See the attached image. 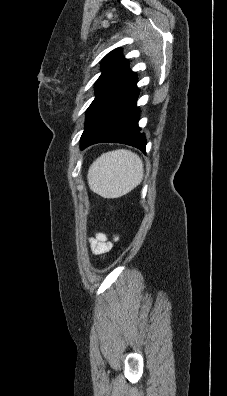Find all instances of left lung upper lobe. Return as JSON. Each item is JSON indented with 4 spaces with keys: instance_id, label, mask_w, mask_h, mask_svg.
<instances>
[{
    "instance_id": "5c2ea615",
    "label": "left lung upper lobe",
    "mask_w": 227,
    "mask_h": 396,
    "mask_svg": "<svg viewBox=\"0 0 227 396\" xmlns=\"http://www.w3.org/2000/svg\"><path fill=\"white\" fill-rule=\"evenodd\" d=\"M102 74L96 81V96L86 112L88 118L94 107L111 91L122 84L134 74L128 68V60L122 55V50L117 48L108 53L102 61Z\"/></svg>"
}]
</instances>
